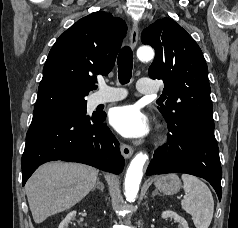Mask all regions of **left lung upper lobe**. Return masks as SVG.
I'll list each match as a JSON object with an SVG mask.
<instances>
[{"mask_svg":"<svg viewBox=\"0 0 238 228\" xmlns=\"http://www.w3.org/2000/svg\"><path fill=\"white\" fill-rule=\"evenodd\" d=\"M143 44L155 49L148 73L165 83L159 111L166 121L214 126L208 68L198 44L177 22L155 21L143 30Z\"/></svg>","mask_w":238,"mask_h":228,"instance_id":"left-lung-upper-lobe-1","label":"left lung upper lobe"}]
</instances>
